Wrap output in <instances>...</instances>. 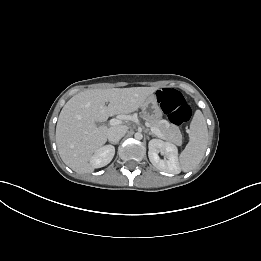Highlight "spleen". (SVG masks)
<instances>
[{
	"instance_id": "obj_1",
	"label": "spleen",
	"mask_w": 261,
	"mask_h": 261,
	"mask_svg": "<svg viewBox=\"0 0 261 261\" xmlns=\"http://www.w3.org/2000/svg\"><path fill=\"white\" fill-rule=\"evenodd\" d=\"M208 143V130L204 116L197 111L190 124L189 142L179 157L184 172L194 169L202 160Z\"/></svg>"
}]
</instances>
